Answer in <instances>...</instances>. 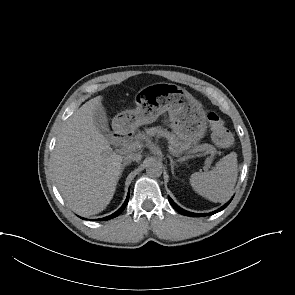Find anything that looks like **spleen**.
I'll return each instance as SVG.
<instances>
[{
	"label": "spleen",
	"instance_id": "1",
	"mask_svg": "<svg viewBox=\"0 0 295 295\" xmlns=\"http://www.w3.org/2000/svg\"><path fill=\"white\" fill-rule=\"evenodd\" d=\"M237 175V154L231 152L220 159L211 171L193 173L190 184L204 198L215 203H224L232 195Z\"/></svg>",
	"mask_w": 295,
	"mask_h": 295
}]
</instances>
